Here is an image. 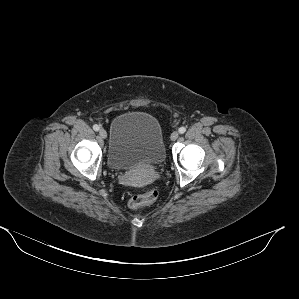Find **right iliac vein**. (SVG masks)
Wrapping results in <instances>:
<instances>
[{"label": "right iliac vein", "instance_id": "1", "mask_svg": "<svg viewBox=\"0 0 299 299\" xmlns=\"http://www.w3.org/2000/svg\"><path fill=\"white\" fill-rule=\"evenodd\" d=\"M99 135L101 138L105 139L107 137V132L104 129H100Z\"/></svg>", "mask_w": 299, "mask_h": 299}]
</instances>
